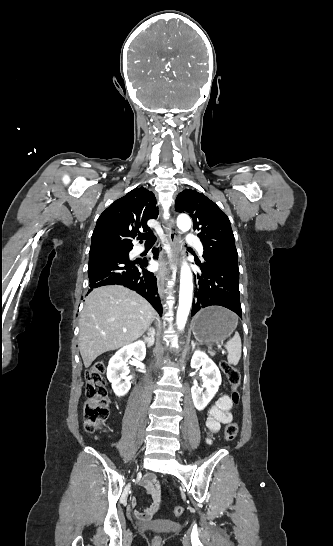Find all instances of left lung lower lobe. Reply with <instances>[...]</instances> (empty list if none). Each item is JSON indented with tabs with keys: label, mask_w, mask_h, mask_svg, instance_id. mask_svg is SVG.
I'll return each instance as SVG.
<instances>
[{
	"label": "left lung lower lobe",
	"mask_w": 333,
	"mask_h": 546,
	"mask_svg": "<svg viewBox=\"0 0 333 546\" xmlns=\"http://www.w3.org/2000/svg\"><path fill=\"white\" fill-rule=\"evenodd\" d=\"M198 265L202 275L195 276L197 288L191 315H195L201 308L219 305L242 317L238 262L214 261Z\"/></svg>",
	"instance_id": "left-lung-lower-lobe-1"
}]
</instances>
